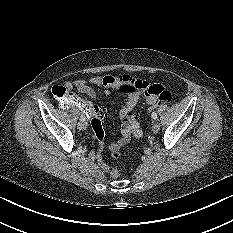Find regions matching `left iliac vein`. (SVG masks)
I'll return each instance as SVG.
<instances>
[{
  "label": "left iliac vein",
  "mask_w": 233,
  "mask_h": 233,
  "mask_svg": "<svg viewBox=\"0 0 233 233\" xmlns=\"http://www.w3.org/2000/svg\"><path fill=\"white\" fill-rule=\"evenodd\" d=\"M159 130H160V124L157 121H155L152 125V131L153 133H158Z\"/></svg>",
  "instance_id": "1"
}]
</instances>
